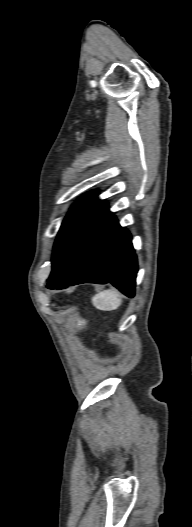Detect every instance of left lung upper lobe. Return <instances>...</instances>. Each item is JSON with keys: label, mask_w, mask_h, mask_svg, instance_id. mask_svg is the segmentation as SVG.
<instances>
[{"label": "left lung upper lobe", "mask_w": 192, "mask_h": 527, "mask_svg": "<svg viewBox=\"0 0 192 527\" xmlns=\"http://www.w3.org/2000/svg\"><path fill=\"white\" fill-rule=\"evenodd\" d=\"M96 195V192L92 191L81 197L64 219L54 244L52 265L80 227L102 203V201L95 198Z\"/></svg>", "instance_id": "obj_1"}]
</instances>
